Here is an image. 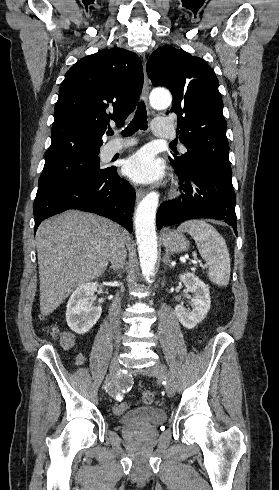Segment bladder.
<instances>
[{
	"instance_id": "1",
	"label": "bladder",
	"mask_w": 279,
	"mask_h": 490,
	"mask_svg": "<svg viewBox=\"0 0 279 490\" xmlns=\"http://www.w3.org/2000/svg\"><path fill=\"white\" fill-rule=\"evenodd\" d=\"M166 422V413L158 406H140L131 409L125 416L119 418L122 430L137 427L160 426Z\"/></svg>"
}]
</instances>
